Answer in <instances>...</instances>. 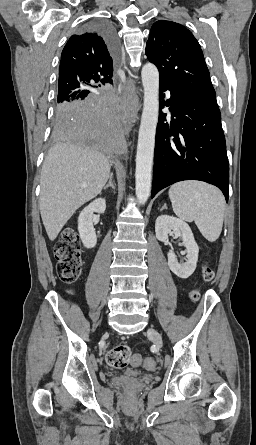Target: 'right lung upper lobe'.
<instances>
[{
  "label": "right lung upper lobe",
  "mask_w": 256,
  "mask_h": 445,
  "mask_svg": "<svg viewBox=\"0 0 256 445\" xmlns=\"http://www.w3.org/2000/svg\"><path fill=\"white\" fill-rule=\"evenodd\" d=\"M116 61L107 41L96 30L86 28L71 36L61 54L57 101L89 95L97 87L93 83L112 84Z\"/></svg>",
  "instance_id": "1"
}]
</instances>
